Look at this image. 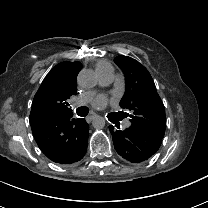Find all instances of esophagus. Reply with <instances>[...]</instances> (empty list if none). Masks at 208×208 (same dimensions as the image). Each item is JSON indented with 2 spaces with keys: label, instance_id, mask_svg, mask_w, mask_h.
<instances>
[{
  "label": "esophagus",
  "instance_id": "1",
  "mask_svg": "<svg viewBox=\"0 0 208 208\" xmlns=\"http://www.w3.org/2000/svg\"><path fill=\"white\" fill-rule=\"evenodd\" d=\"M95 117H97V115L92 114V115L88 116L86 119H87L88 122H91Z\"/></svg>",
  "mask_w": 208,
  "mask_h": 208
}]
</instances>
